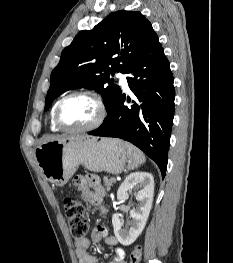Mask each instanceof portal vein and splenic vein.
<instances>
[{"mask_svg":"<svg viewBox=\"0 0 233 263\" xmlns=\"http://www.w3.org/2000/svg\"><path fill=\"white\" fill-rule=\"evenodd\" d=\"M112 180H114V181H116V179L113 177V178H111Z\"/></svg>","mask_w":233,"mask_h":263,"instance_id":"18ae733b","label":"portal vein and splenic vein"}]
</instances>
